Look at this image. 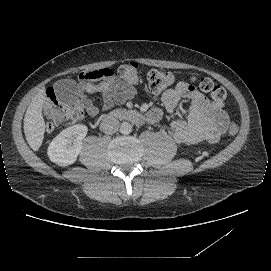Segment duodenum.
I'll return each mask as SVG.
<instances>
[{
    "label": "duodenum",
    "instance_id": "410a0bca",
    "mask_svg": "<svg viewBox=\"0 0 271 271\" xmlns=\"http://www.w3.org/2000/svg\"><path fill=\"white\" fill-rule=\"evenodd\" d=\"M117 120H127L136 124L144 122V117L132 109H116L105 114L101 121V127L105 132H110Z\"/></svg>",
    "mask_w": 271,
    "mask_h": 271
}]
</instances>
